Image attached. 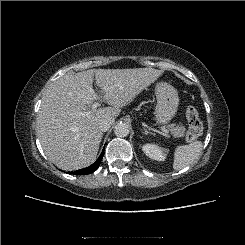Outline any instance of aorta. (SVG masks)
Wrapping results in <instances>:
<instances>
[{
	"label": "aorta",
	"mask_w": 245,
	"mask_h": 245,
	"mask_svg": "<svg viewBox=\"0 0 245 245\" xmlns=\"http://www.w3.org/2000/svg\"><path fill=\"white\" fill-rule=\"evenodd\" d=\"M130 131L129 125L125 122H119L114 128V133L117 137H126Z\"/></svg>",
	"instance_id": "762f6f07"
}]
</instances>
